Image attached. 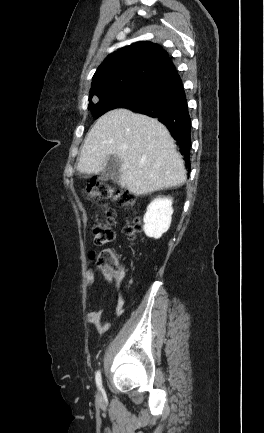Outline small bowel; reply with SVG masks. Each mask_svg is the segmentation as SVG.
<instances>
[{
    "mask_svg": "<svg viewBox=\"0 0 264 433\" xmlns=\"http://www.w3.org/2000/svg\"><path fill=\"white\" fill-rule=\"evenodd\" d=\"M86 284L92 286L95 283V277L91 271L86 273ZM124 278V272L121 271L115 280L116 288V309L115 314L120 316L124 312V298L120 292V286ZM104 309L102 307L89 310L87 320L92 324L98 334H104L110 329V323L103 319Z\"/></svg>",
    "mask_w": 264,
    "mask_h": 433,
    "instance_id": "obj_1",
    "label": "small bowel"
}]
</instances>
